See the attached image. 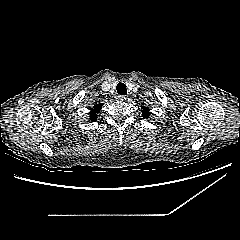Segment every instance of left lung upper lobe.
Masks as SVG:
<instances>
[{"instance_id":"1","label":"left lung upper lobe","mask_w":240,"mask_h":240,"mask_svg":"<svg viewBox=\"0 0 240 240\" xmlns=\"http://www.w3.org/2000/svg\"><path fill=\"white\" fill-rule=\"evenodd\" d=\"M141 109H142V116L144 118H148L150 116L149 108L142 106Z\"/></svg>"}]
</instances>
